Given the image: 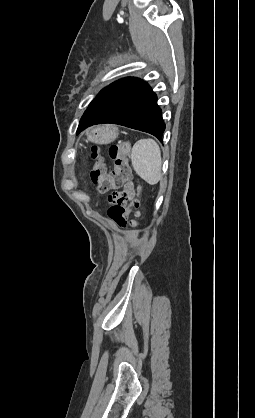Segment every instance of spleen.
<instances>
[{"label":"spleen","mask_w":255,"mask_h":418,"mask_svg":"<svg viewBox=\"0 0 255 418\" xmlns=\"http://www.w3.org/2000/svg\"><path fill=\"white\" fill-rule=\"evenodd\" d=\"M131 162L135 172L148 184L155 185L161 180V151L153 139H140L133 145Z\"/></svg>","instance_id":"3e777b00"}]
</instances>
